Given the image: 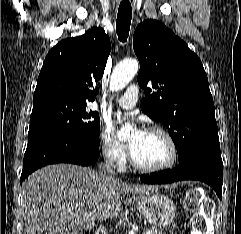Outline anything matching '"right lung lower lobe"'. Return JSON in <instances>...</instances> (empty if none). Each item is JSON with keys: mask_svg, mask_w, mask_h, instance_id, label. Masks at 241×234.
I'll list each match as a JSON object with an SVG mask.
<instances>
[{"mask_svg": "<svg viewBox=\"0 0 241 234\" xmlns=\"http://www.w3.org/2000/svg\"><path fill=\"white\" fill-rule=\"evenodd\" d=\"M99 156V148H91L68 136L49 134L30 138L23 160L21 184L29 174L43 166L55 163L88 166Z\"/></svg>", "mask_w": 241, "mask_h": 234, "instance_id": "98d812e1", "label": "right lung lower lobe"}]
</instances>
